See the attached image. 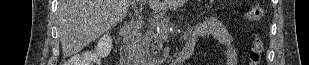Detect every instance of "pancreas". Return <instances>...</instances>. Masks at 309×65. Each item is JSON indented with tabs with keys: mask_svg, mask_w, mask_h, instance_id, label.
I'll return each instance as SVG.
<instances>
[{
	"mask_svg": "<svg viewBox=\"0 0 309 65\" xmlns=\"http://www.w3.org/2000/svg\"><path fill=\"white\" fill-rule=\"evenodd\" d=\"M157 27L161 29L162 35V30L168 29L169 22L164 19L153 20L147 26V30L137 36L134 48L137 57L152 62V59L158 55L162 49L163 41L161 35L159 36L156 31Z\"/></svg>",
	"mask_w": 309,
	"mask_h": 65,
	"instance_id": "pancreas-1",
	"label": "pancreas"
}]
</instances>
